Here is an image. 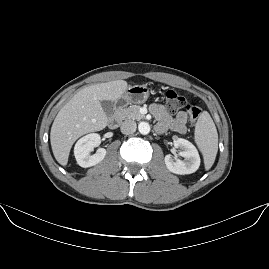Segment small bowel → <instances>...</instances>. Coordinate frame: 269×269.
<instances>
[{"label": "small bowel", "instance_id": "small-bowel-1", "mask_svg": "<svg viewBox=\"0 0 269 269\" xmlns=\"http://www.w3.org/2000/svg\"><path fill=\"white\" fill-rule=\"evenodd\" d=\"M151 112L158 120L155 128L158 133H163L168 128L181 134L186 132L187 114L185 112L181 111L177 113L172 119L161 104H153L151 106Z\"/></svg>", "mask_w": 269, "mask_h": 269}]
</instances>
